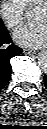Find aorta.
I'll use <instances>...</instances> for the list:
<instances>
[{
    "label": "aorta",
    "mask_w": 47,
    "mask_h": 129,
    "mask_svg": "<svg viewBox=\"0 0 47 129\" xmlns=\"http://www.w3.org/2000/svg\"><path fill=\"white\" fill-rule=\"evenodd\" d=\"M38 63H39L41 68L46 69V67H47V54H46V52L40 53V55L38 57Z\"/></svg>",
    "instance_id": "762f6f07"
}]
</instances>
